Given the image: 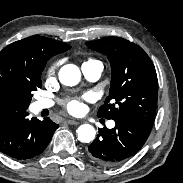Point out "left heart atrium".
<instances>
[{
  "label": "left heart atrium",
  "instance_id": "left-heart-atrium-1",
  "mask_svg": "<svg viewBox=\"0 0 183 183\" xmlns=\"http://www.w3.org/2000/svg\"><path fill=\"white\" fill-rule=\"evenodd\" d=\"M90 95L87 94L83 97V99H89ZM65 107L68 112L77 114L83 109V103L80 98H69L65 102Z\"/></svg>",
  "mask_w": 183,
  "mask_h": 183
}]
</instances>
